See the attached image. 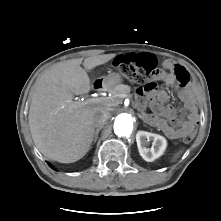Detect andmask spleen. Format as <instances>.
Listing matches in <instances>:
<instances>
[{"mask_svg": "<svg viewBox=\"0 0 221 221\" xmlns=\"http://www.w3.org/2000/svg\"><path fill=\"white\" fill-rule=\"evenodd\" d=\"M181 152H182V151L178 152V153L174 156V159L177 158V157L181 154Z\"/></svg>", "mask_w": 221, "mask_h": 221, "instance_id": "obj_1", "label": "spleen"}]
</instances>
